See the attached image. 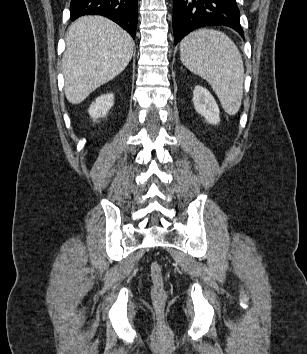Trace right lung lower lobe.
<instances>
[{
	"label": "right lung lower lobe",
	"mask_w": 307,
	"mask_h": 354,
	"mask_svg": "<svg viewBox=\"0 0 307 354\" xmlns=\"http://www.w3.org/2000/svg\"><path fill=\"white\" fill-rule=\"evenodd\" d=\"M105 16L123 27L134 38L137 18L138 0H72L70 16L72 20L86 15Z\"/></svg>",
	"instance_id": "obj_1"
}]
</instances>
